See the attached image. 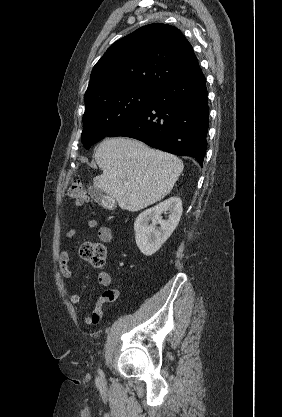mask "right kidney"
Segmentation results:
<instances>
[{
	"instance_id": "ca27d5eb",
	"label": "right kidney",
	"mask_w": 282,
	"mask_h": 417,
	"mask_svg": "<svg viewBox=\"0 0 282 417\" xmlns=\"http://www.w3.org/2000/svg\"><path fill=\"white\" fill-rule=\"evenodd\" d=\"M169 211L167 221L160 217L161 213ZM182 215V200L179 196H170L159 202L152 209H146L138 215L134 223L135 241L143 255L150 257L159 251L161 245L169 239L176 229ZM149 221H152L149 225ZM156 225H160L156 229Z\"/></svg>"
}]
</instances>
